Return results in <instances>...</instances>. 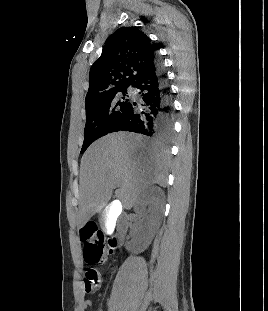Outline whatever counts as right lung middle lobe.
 Listing matches in <instances>:
<instances>
[{
    "instance_id": "1",
    "label": "right lung middle lobe",
    "mask_w": 268,
    "mask_h": 311,
    "mask_svg": "<svg viewBox=\"0 0 268 311\" xmlns=\"http://www.w3.org/2000/svg\"><path fill=\"white\" fill-rule=\"evenodd\" d=\"M129 103L127 88L115 91L86 109V125L81 153L111 129Z\"/></svg>"
}]
</instances>
